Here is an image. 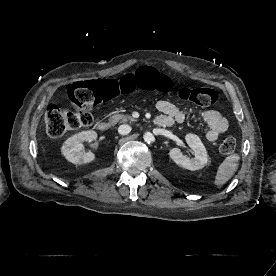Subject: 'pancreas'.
<instances>
[{
	"instance_id": "cf45deb5",
	"label": "pancreas",
	"mask_w": 276,
	"mask_h": 276,
	"mask_svg": "<svg viewBox=\"0 0 276 276\" xmlns=\"http://www.w3.org/2000/svg\"><path fill=\"white\" fill-rule=\"evenodd\" d=\"M136 119H134L130 115H123V114H114L109 118V124L115 125L118 122L125 123V122H135Z\"/></svg>"
}]
</instances>
